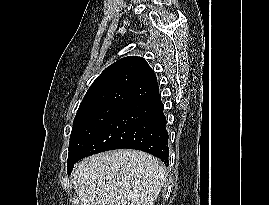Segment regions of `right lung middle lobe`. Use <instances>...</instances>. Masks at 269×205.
<instances>
[{"label":"right lung middle lobe","instance_id":"right-lung-middle-lobe-1","mask_svg":"<svg viewBox=\"0 0 269 205\" xmlns=\"http://www.w3.org/2000/svg\"><path fill=\"white\" fill-rule=\"evenodd\" d=\"M127 107L122 105L103 104L79 108L73 121L69 142L67 173L70 174L77 155L81 149L105 126L114 116Z\"/></svg>","mask_w":269,"mask_h":205}]
</instances>
